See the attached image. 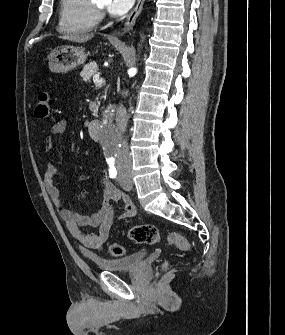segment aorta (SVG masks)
I'll return each mask as SVG.
<instances>
[{
    "instance_id": "aorta-1",
    "label": "aorta",
    "mask_w": 285,
    "mask_h": 335,
    "mask_svg": "<svg viewBox=\"0 0 285 335\" xmlns=\"http://www.w3.org/2000/svg\"><path fill=\"white\" fill-rule=\"evenodd\" d=\"M133 72H136L135 68H131ZM115 97H130V90H115ZM117 105L115 100L110 102V105L107 106L108 112H113L114 107ZM93 134H100V137H105V140H102V147H119L118 137H123L122 127L118 125H101L100 127H93Z\"/></svg>"
}]
</instances>
